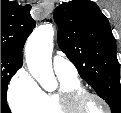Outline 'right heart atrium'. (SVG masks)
<instances>
[{"label":"right heart atrium","instance_id":"obj_1","mask_svg":"<svg viewBox=\"0 0 121 113\" xmlns=\"http://www.w3.org/2000/svg\"><path fill=\"white\" fill-rule=\"evenodd\" d=\"M40 88L24 69L18 70L8 85V102L13 110L32 107L39 98Z\"/></svg>","mask_w":121,"mask_h":113}]
</instances>
